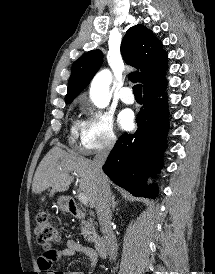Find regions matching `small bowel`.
I'll use <instances>...</instances> for the list:
<instances>
[{"instance_id":"obj_1","label":"small bowel","mask_w":215,"mask_h":274,"mask_svg":"<svg viewBox=\"0 0 215 274\" xmlns=\"http://www.w3.org/2000/svg\"><path fill=\"white\" fill-rule=\"evenodd\" d=\"M84 254L90 260L89 273L96 269L98 263V255L96 251L88 246L82 245L73 239H67L65 247L59 250H44L38 258V265L42 272L47 274H84L76 271L56 272L53 270L54 263L60 261L63 257H74L77 254Z\"/></svg>"}]
</instances>
